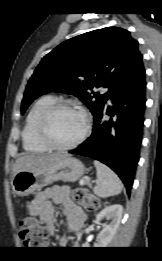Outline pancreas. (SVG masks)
<instances>
[{
    "instance_id": "pancreas-1",
    "label": "pancreas",
    "mask_w": 162,
    "mask_h": 261,
    "mask_svg": "<svg viewBox=\"0 0 162 261\" xmlns=\"http://www.w3.org/2000/svg\"><path fill=\"white\" fill-rule=\"evenodd\" d=\"M85 184H90V181L89 180H85V182H84Z\"/></svg>"
}]
</instances>
